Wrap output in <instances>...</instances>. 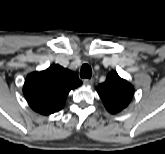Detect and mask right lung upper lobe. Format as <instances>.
<instances>
[{"mask_svg":"<svg viewBox=\"0 0 165 154\" xmlns=\"http://www.w3.org/2000/svg\"><path fill=\"white\" fill-rule=\"evenodd\" d=\"M78 76L56 64L26 77L23 93L30 107L43 115L61 110L70 90L81 85Z\"/></svg>","mask_w":165,"mask_h":154,"instance_id":"cb5924a9","label":"right lung upper lobe"}]
</instances>
